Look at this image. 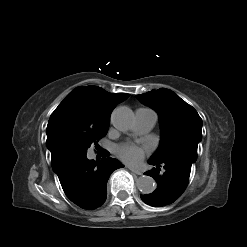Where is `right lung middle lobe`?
Here are the masks:
<instances>
[{
	"label": "right lung middle lobe",
	"instance_id": "1",
	"mask_svg": "<svg viewBox=\"0 0 247 247\" xmlns=\"http://www.w3.org/2000/svg\"><path fill=\"white\" fill-rule=\"evenodd\" d=\"M109 124L66 112L54 124L53 140L59 152L86 155L91 145L98 146L97 141L106 135Z\"/></svg>",
	"mask_w": 247,
	"mask_h": 247
}]
</instances>
